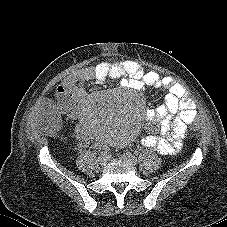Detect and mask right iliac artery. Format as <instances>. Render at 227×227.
I'll use <instances>...</instances> for the list:
<instances>
[{
  "label": "right iliac artery",
  "mask_w": 227,
  "mask_h": 227,
  "mask_svg": "<svg viewBox=\"0 0 227 227\" xmlns=\"http://www.w3.org/2000/svg\"><path fill=\"white\" fill-rule=\"evenodd\" d=\"M102 156H106L109 154V149H104L101 153Z\"/></svg>",
  "instance_id": "obj_1"
}]
</instances>
